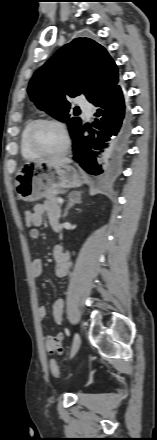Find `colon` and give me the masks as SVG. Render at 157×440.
Wrapping results in <instances>:
<instances>
[{
  "mask_svg": "<svg viewBox=\"0 0 157 440\" xmlns=\"http://www.w3.org/2000/svg\"><path fill=\"white\" fill-rule=\"evenodd\" d=\"M24 222L25 225L29 228H33L35 225V219H34V214L33 211L30 210H26L24 212ZM56 352L60 353L62 351L61 348L57 347L54 349ZM49 367H50V371L51 374L55 377V378H59L60 377V369L59 366L57 365L56 361L54 359L50 360L49 363Z\"/></svg>",
  "mask_w": 157,
  "mask_h": 440,
  "instance_id": "obj_1",
  "label": "colon"
}]
</instances>
